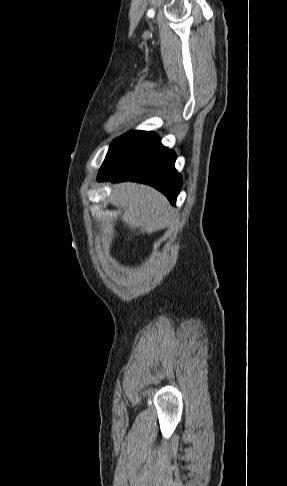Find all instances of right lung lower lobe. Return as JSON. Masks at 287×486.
<instances>
[{
    "label": "right lung lower lobe",
    "instance_id": "right-lung-lower-lobe-1",
    "mask_svg": "<svg viewBox=\"0 0 287 486\" xmlns=\"http://www.w3.org/2000/svg\"><path fill=\"white\" fill-rule=\"evenodd\" d=\"M176 155L148 132L120 151L107 157L97 176L98 181H137L164 193L172 204L180 192L182 179L174 167Z\"/></svg>",
    "mask_w": 287,
    "mask_h": 486
}]
</instances>
